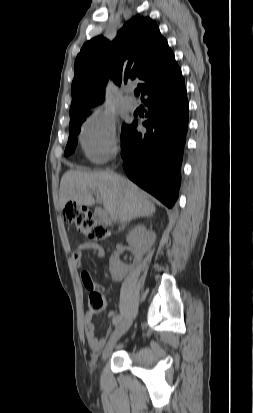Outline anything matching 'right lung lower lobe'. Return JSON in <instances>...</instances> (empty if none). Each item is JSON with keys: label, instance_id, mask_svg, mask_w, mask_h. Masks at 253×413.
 <instances>
[{"label": "right lung lower lobe", "instance_id": "1", "mask_svg": "<svg viewBox=\"0 0 253 413\" xmlns=\"http://www.w3.org/2000/svg\"><path fill=\"white\" fill-rule=\"evenodd\" d=\"M147 132L135 130L134 121L121 143L123 169L141 188L172 208L181 183L180 167L188 125L185 85L178 90L147 98Z\"/></svg>", "mask_w": 253, "mask_h": 413}]
</instances>
